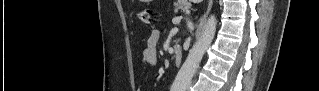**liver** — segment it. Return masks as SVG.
I'll return each instance as SVG.
<instances>
[{"label":"liver","instance_id":"1","mask_svg":"<svg viewBox=\"0 0 319 91\" xmlns=\"http://www.w3.org/2000/svg\"><path fill=\"white\" fill-rule=\"evenodd\" d=\"M201 0H191V2L199 3Z\"/></svg>","mask_w":319,"mask_h":91}]
</instances>
